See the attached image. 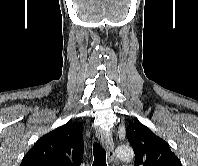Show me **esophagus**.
Here are the masks:
<instances>
[{
	"mask_svg": "<svg viewBox=\"0 0 198 166\" xmlns=\"http://www.w3.org/2000/svg\"><path fill=\"white\" fill-rule=\"evenodd\" d=\"M96 137L101 145H104L107 149L108 159L111 163L115 162L116 155L114 150V142L110 135H106L101 129H96Z\"/></svg>",
	"mask_w": 198,
	"mask_h": 166,
	"instance_id": "esophagus-1",
	"label": "esophagus"
}]
</instances>
